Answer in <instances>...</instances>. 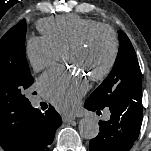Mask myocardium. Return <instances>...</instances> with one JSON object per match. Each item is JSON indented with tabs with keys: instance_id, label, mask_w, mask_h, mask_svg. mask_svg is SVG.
Returning <instances> with one entry per match:
<instances>
[{
	"instance_id": "obj_1",
	"label": "myocardium",
	"mask_w": 151,
	"mask_h": 151,
	"mask_svg": "<svg viewBox=\"0 0 151 151\" xmlns=\"http://www.w3.org/2000/svg\"><path fill=\"white\" fill-rule=\"evenodd\" d=\"M100 33H104L109 37L111 44V53L106 65L93 74H90L92 80H102L104 79L112 70L115 65L118 56V39L115 32L107 25H98L89 29L77 42L73 43L66 51V56L69 57L72 54L83 51L89 46L91 41L95 36Z\"/></svg>"
}]
</instances>
